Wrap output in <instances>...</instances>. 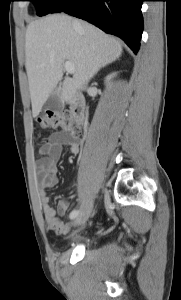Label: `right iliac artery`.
Returning <instances> with one entry per match:
<instances>
[{
  "label": "right iliac artery",
  "instance_id": "right-iliac-artery-1",
  "mask_svg": "<svg viewBox=\"0 0 181 300\" xmlns=\"http://www.w3.org/2000/svg\"><path fill=\"white\" fill-rule=\"evenodd\" d=\"M78 215H79V210H73V211L70 213L69 218H70V219H75Z\"/></svg>",
  "mask_w": 181,
  "mask_h": 300
}]
</instances>
